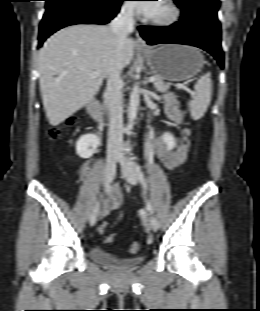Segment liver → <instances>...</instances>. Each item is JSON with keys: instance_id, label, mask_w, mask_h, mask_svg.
<instances>
[{"instance_id": "liver-1", "label": "liver", "mask_w": 260, "mask_h": 311, "mask_svg": "<svg viewBox=\"0 0 260 311\" xmlns=\"http://www.w3.org/2000/svg\"><path fill=\"white\" fill-rule=\"evenodd\" d=\"M134 42L118 47L109 25L78 24L52 35L39 52L40 91L46 116L57 126L85 106L117 66L126 67ZM100 71L96 77L91 73Z\"/></svg>"}]
</instances>
